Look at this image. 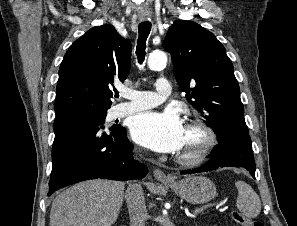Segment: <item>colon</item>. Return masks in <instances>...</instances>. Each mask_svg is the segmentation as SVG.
Here are the masks:
<instances>
[{
  "instance_id": "1",
  "label": "colon",
  "mask_w": 297,
  "mask_h": 226,
  "mask_svg": "<svg viewBox=\"0 0 297 226\" xmlns=\"http://www.w3.org/2000/svg\"><path fill=\"white\" fill-rule=\"evenodd\" d=\"M232 218L239 226H263L260 222L253 221L237 211H233Z\"/></svg>"
}]
</instances>
